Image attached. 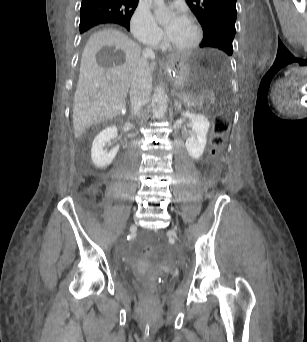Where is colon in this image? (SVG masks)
<instances>
[{
    "mask_svg": "<svg viewBox=\"0 0 307 342\" xmlns=\"http://www.w3.org/2000/svg\"><path fill=\"white\" fill-rule=\"evenodd\" d=\"M228 121L223 117H217L214 121L213 130L210 137V153L213 157L218 156L219 149L223 144V135L228 131ZM142 253L148 257L155 258L158 248L156 246H142Z\"/></svg>",
    "mask_w": 307,
    "mask_h": 342,
    "instance_id": "obj_1",
    "label": "colon"
}]
</instances>
